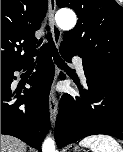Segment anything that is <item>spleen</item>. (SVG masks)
<instances>
[{"instance_id": "obj_1", "label": "spleen", "mask_w": 123, "mask_h": 152, "mask_svg": "<svg viewBox=\"0 0 123 152\" xmlns=\"http://www.w3.org/2000/svg\"><path fill=\"white\" fill-rule=\"evenodd\" d=\"M83 147L90 148L92 152H123L119 143L108 135H93L82 139L79 143Z\"/></svg>"}]
</instances>
